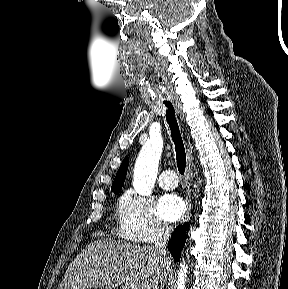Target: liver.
Here are the masks:
<instances>
[{
	"label": "liver",
	"instance_id": "1",
	"mask_svg": "<svg viewBox=\"0 0 288 289\" xmlns=\"http://www.w3.org/2000/svg\"><path fill=\"white\" fill-rule=\"evenodd\" d=\"M170 266L152 247L96 240L71 262L59 289H163Z\"/></svg>",
	"mask_w": 288,
	"mask_h": 289
}]
</instances>
